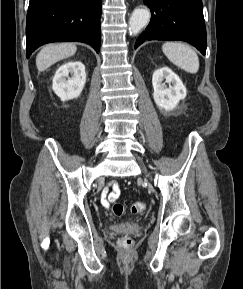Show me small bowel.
<instances>
[{"label":"small bowel","instance_id":"1","mask_svg":"<svg viewBox=\"0 0 243 289\" xmlns=\"http://www.w3.org/2000/svg\"><path fill=\"white\" fill-rule=\"evenodd\" d=\"M120 187L117 183L112 184V191L104 190L102 193V204L109 207L111 203L115 202L120 197Z\"/></svg>","mask_w":243,"mask_h":289}]
</instances>
